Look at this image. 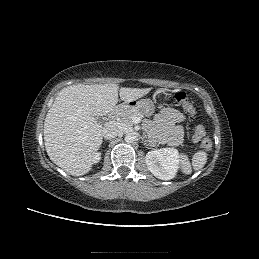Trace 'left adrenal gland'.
<instances>
[{"instance_id": "a2214340", "label": "left adrenal gland", "mask_w": 259, "mask_h": 259, "mask_svg": "<svg viewBox=\"0 0 259 259\" xmlns=\"http://www.w3.org/2000/svg\"><path fill=\"white\" fill-rule=\"evenodd\" d=\"M142 141L144 142V144L146 146H152L151 143L148 140H145L144 138L142 139Z\"/></svg>"}]
</instances>
